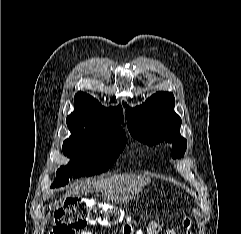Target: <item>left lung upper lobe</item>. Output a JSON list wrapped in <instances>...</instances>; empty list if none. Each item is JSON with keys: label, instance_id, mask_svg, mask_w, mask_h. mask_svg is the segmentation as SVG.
Masks as SVG:
<instances>
[{"label": "left lung upper lobe", "instance_id": "1", "mask_svg": "<svg viewBox=\"0 0 241 234\" xmlns=\"http://www.w3.org/2000/svg\"><path fill=\"white\" fill-rule=\"evenodd\" d=\"M171 92H157L141 106L126 108L127 127L137 140L148 145L172 144V157L184 155L187 141L180 135L181 118L174 112ZM127 106V104H125Z\"/></svg>", "mask_w": 241, "mask_h": 234}]
</instances>
